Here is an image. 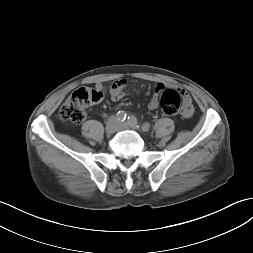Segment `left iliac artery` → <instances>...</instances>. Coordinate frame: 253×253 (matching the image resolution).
<instances>
[{
  "mask_svg": "<svg viewBox=\"0 0 253 253\" xmlns=\"http://www.w3.org/2000/svg\"><path fill=\"white\" fill-rule=\"evenodd\" d=\"M127 121H128V124H130L131 126L139 127L138 122H137V118H136L135 116H133V115L128 116ZM149 128H150V126H149L148 123H145V124L142 126V129H143L144 131H148Z\"/></svg>",
  "mask_w": 253,
  "mask_h": 253,
  "instance_id": "obj_1",
  "label": "left iliac artery"
}]
</instances>
